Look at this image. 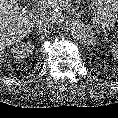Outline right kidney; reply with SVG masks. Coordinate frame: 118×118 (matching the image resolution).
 <instances>
[{
    "instance_id": "ca27d5eb",
    "label": "right kidney",
    "mask_w": 118,
    "mask_h": 118,
    "mask_svg": "<svg viewBox=\"0 0 118 118\" xmlns=\"http://www.w3.org/2000/svg\"><path fill=\"white\" fill-rule=\"evenodd\" d=\"M34 46L28 42H19L12 49L11 54L16 60L21 61L33 53Z\"/></svg>"
}]
</instances>
